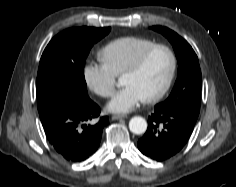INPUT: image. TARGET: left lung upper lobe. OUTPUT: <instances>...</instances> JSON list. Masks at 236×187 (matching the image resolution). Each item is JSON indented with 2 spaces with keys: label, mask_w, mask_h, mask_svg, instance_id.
I'll list each match as a JSON object with an SVG mask.
<instances>
[{
  "label": "left lung upper lobe",
  "mask_w": 236,
  "mask_h": 187,
  "mask_svg": "<svg viewBox=\"0 0 236 187\" xmlns=\"http://www.w3.org/2000/svg\"><path fill=\"white\" fill-rule=\"evenodd\" d=\"M152 29L160 32L170 41L178 61V74L174 88L167 100L160 105L199 115L202 76L197 55L189 43L174 31L162 26H153Z\"/></svg>",
  "instance_id": "obj_1"
}]
</instances>
